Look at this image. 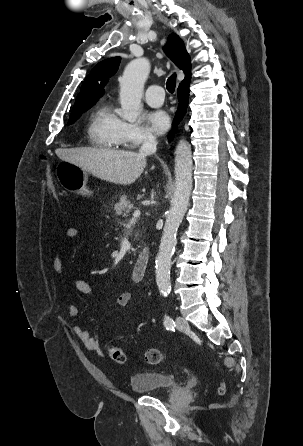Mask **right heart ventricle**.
Returning <instances> with one entry per match:
<instances>
[{"instance_id":"obj_1","label":"right heart ventricle","mask_w":303,"mask_h":446,"mask_svg":"<svg viewBox=\"0 0 303 446\" xmlns=\"http://www.w3.org/2000/svg\"><path fill=\"white\" fill-rule=\"evenodd\" d=\"M122 120L109 104L97 108L88 121V142L99 148H118L121 146L120 127Z\"/></svg>"}]
</instances>
